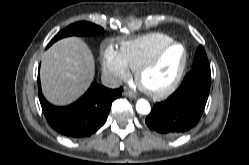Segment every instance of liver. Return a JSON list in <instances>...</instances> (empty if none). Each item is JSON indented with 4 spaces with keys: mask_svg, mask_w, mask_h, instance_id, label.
<instances>
[{
    "mask_svg": "<svg viewBox=\"0 0 249 165\" xmlns=\"http://www.w3.org/2000/svg\"><path fill=\"white\" fill-rule=\"evenodd\" d=\"M94 73V58L87 44L77 37L61 39L42 59L43 94L54 105H68L86 92Z\"/></svg>",
    "mask_w": 249,
    "mask_h": 165,
    "instance_id": "liver-1",
    "label": "liver"
}]
</instances>
